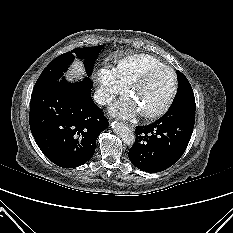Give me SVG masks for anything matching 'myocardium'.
I'll use <instances>...</instances> for the list:
<instances>
[{
    "label": "myocardium",
    "mask_w": 233,
    "mask_h": 233,
    "mask_svg": "<svg viewBox=\"0 0 233 233\" xmlns=\"http://www.w3.org/2000/svg\"><path fill=\"white\" fill-rule=\"evenodd\" d=\"M160 70H165V71H168L171 73L172 78H173L172 86H171V89H170L169 94L166 97L165 101L159 107H157L156 109L151 110V111L140 112V114L143 117L148 118V119H152V118H156V117L161 116L171 106V104L175 98V95L177 93V89H178V78H177L175 71L171 67L166 66V65L153 66V67H150V68L146 69L145 71H143L129 85V92L132 95V92L139 85H141L151 74H153L156 71H160Z\"/></svg>",
    "instance_id": "1"
}]
</instances>
